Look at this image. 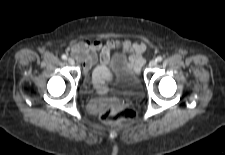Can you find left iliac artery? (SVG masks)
I'll return each instance as SVG.
<instances>
[{
	"label": "left iliac artery",
	"instance_id": "left-iliac-artery-1",
	"mask_svg": "<svg viewBox=\"0 0 225 155\" xmlns=\"http://www.w3.org/2000/svg\"><path fill=\"white\" fill-rule=\"evenodd\" d=\"M162 59H163V58H162L161 56H158V57L156 58V61H157V62H161Z\"/></svg>",
	"mask_w": 225,
	"mask_h": 155
}]
</instances>
